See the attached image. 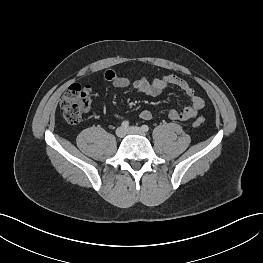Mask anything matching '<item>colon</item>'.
<instances>
[{
    "label": "colon",
    "mask_w": 263,
    "mask_h": 263,
    "mask_svg": "<svg viewBox=\"0 0 263 263\" xmlns=\"http://www.w3.org/2000/svg\"><path fill=\"white\" fill-rule=\"evenodd\" d=\"M90 104V90L87 86L81 85L70 86L60 100L64 119L70 124L79 123L84 113L89 110ZM203 122V119H198L194 122V126L198 127Z\"/></svg>",
    "instance_id": "obj_1"
}]
</instances>
